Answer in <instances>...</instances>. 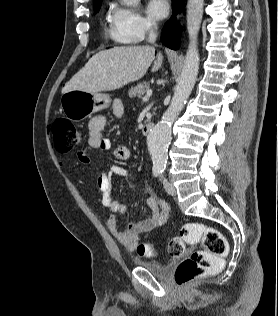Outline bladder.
<instances>
[{
    "label": "bladder",
    "mask_w": 278,
    "mask_h": 316,
    "mask_svg": "<svg viewBox=\"0 0 278 316\" xmlns=\"http://www.w3.org/2000/svg\"><path fill=\"white\" fill-rule=\"evenodd\" d=\"M134 263L137 266L146 269L152 275L159 278L168 277L173 269L172 264H161L157 262L145 261V260H140V259H135Z\"/></svg>",
    "instance_id": "31cf9c89"
}]
</instances>
